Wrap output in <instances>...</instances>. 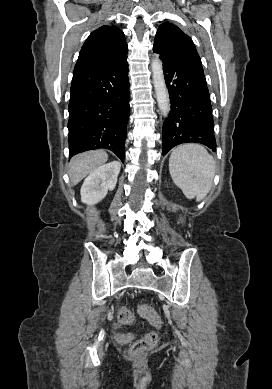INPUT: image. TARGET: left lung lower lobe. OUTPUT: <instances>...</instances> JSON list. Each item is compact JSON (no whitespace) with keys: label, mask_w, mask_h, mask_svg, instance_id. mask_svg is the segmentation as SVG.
<instances>
[{"label":"left lung lower lobe","mask_w":272,"mask_h":389,"mask_svg":"<svg viewBox=\"0 0 272 389\" xmlns=\"http://www.w3.org/2000/svg\"><path fill=\"white\" fill-rule=\"evenodd\" d=\"M160 58L171 102L162 129L163 155L188 142L201 143L215 151L212 107L202 65Z\"/></svg>","instance_id":"1"}]
</instances>
